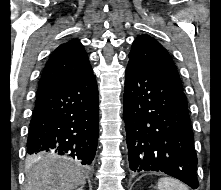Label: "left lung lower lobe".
I'll return each instance as SVG.
<instances>
[{
	"label": "left lung lower lobe",
	"mask_w": 221,
	"mask_h": 190,
	"mask_svg": "<svg viewBox=\"0 0 221 190\" xmlns=\"http://www.w3.org/2000/svg\"><path fill=\"white\" fill-rule=\"evenodd\" d=\"M125 78L123 108L130 169L161 171L197 188V155L184 90L130 60Z\"/></svg>",
	"instance_id": "obj_1"
}]
</instances>
